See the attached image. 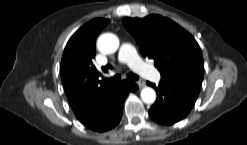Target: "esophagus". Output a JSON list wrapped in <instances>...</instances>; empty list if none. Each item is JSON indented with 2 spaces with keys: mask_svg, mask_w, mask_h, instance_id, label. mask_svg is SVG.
Wrapping results in <instances>:
<instances>
[{
  "mask_svg": "<svg viewBox=\"0 0 247 145\" xmlns=\"http://www.w3.org/2000/svg\"><path fill=\"white\" fill-rule=\"evenodd\" d=\"M137 84H138V87H139L140 89L143 88V87L145 86V82H144V81H138Z\"/></svg>",
  "mask_w": 247,
  "mask_h": 145,
  "instance_id": "1",
  "label": "esophagus"
}]
</instances>
